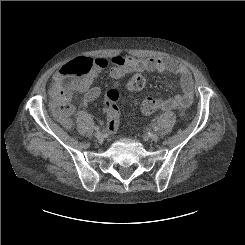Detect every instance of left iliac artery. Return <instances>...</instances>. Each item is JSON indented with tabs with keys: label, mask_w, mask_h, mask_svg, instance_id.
Listing matches in <instances>:
<instances>
[{
	"label": "left iliac artery",
	"mask_w": 245,
	"mask_h": 245,
	"mask_svg": "<svg viewBox=\"0 0 245 245\" xmlns=\"http://www.w3.org/2000/svg\"><path fill=\"white\" fill-rule=\"evenodd\" d=\"M153 129H154V131H158L159 130L158 126H155Z\"/></svg>",
	"instance_id": "obj_1"
}]
</instances>
